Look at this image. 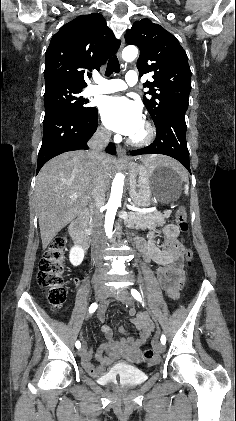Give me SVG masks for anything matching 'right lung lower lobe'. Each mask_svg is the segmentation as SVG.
I'll return each instance as SVG.
<instances>
[{
	"mask_svg": "<svg viewBox=\"0 0 236 421\" xmlns=\"http://www.w3.org/2000/svg\"><path fill=\"white\" fill-rule=\"evenodd\" d=\"M98 126L97 109L84 116L59 113L43 121V140L38 154L37 172L51 158L73 150L88 149L87 141L92 137ZM116 154L115 145L109 143L106 150Z\"/></svg>",
	"mask_w": 236,
	"mask_h": 421,
	"instance_id": "1",
	"label": "right lung lower lobe"
}]
</instances>
